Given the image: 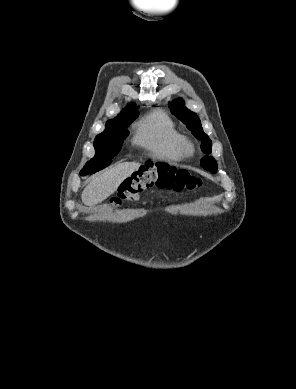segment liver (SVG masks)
Masks as SVG:
<instances>
[{
	"mask_svg": "<svg viewBox=\"0 0 296 389\" xmlns=\"http://www.w3.org/2000/svg\"><path fill=\"white\" fill-rule=\"evenodd\" d=\"M140 166L141 164L136 162H124L92 177L82 192V202L87 206L101 203L112 195L120 184L137 171Z\"/></svg>",
	"mask_w": 296,
	"mask_h": 389,
	"instance_id": "1",
	"label": "liver"
}]
</instances>
